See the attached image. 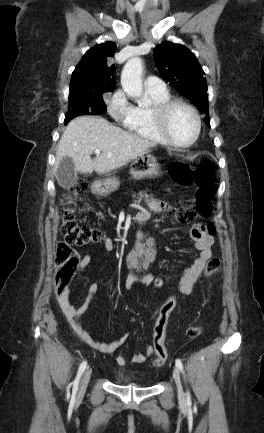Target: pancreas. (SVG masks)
Listing matches in <instances>:
<instances>
[{"instance_id": "cf45deb5", "label": "pancreas", "mask_w": 264, "mask_h": 433, "mask_svg": "<svg viewBox=\"0 0 264 433\" xmlns=\"http://www.w3.org/2000/svg\"><path fill=\"white\" fill-rule=\"evenodd\" d=\"M137 198H138L139 201L142 200L143 198L145 200H151L152 199V195H148L145 192H139V197H137Z\"/></svg>"}]
</instances>
